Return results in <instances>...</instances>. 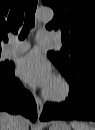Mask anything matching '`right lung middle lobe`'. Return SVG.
Segmentation results:
<instances>
[{"mask_svg":"<svg viewBox=\"0 0 95 130\" xmlns=\"http://www.w3.org/2000/svg\"><path fill=\"white\" fill-rule=\"evenodd\" d=\"M9 66H5L3 63H0V73H4L8 70Z\"/></svg>","mask_w":95,"mask_h":130,"instance_id":"obj_1","label":"right lung middle lobe"}]
</instances>
